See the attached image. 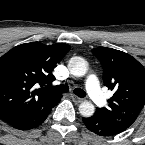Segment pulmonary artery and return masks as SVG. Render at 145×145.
Listing matches in <instances>:
<instances>
[{"mask_svg":"<svg viewBox=\"0 0 145 145\" xmlns=\"http://www.w3.org/2000/svg\"><path fill=\"white\" fill-rule=\"evenodd\" d=\"M86 89L90 98L99 106H104L107 102L106 95L101 91L98 79L95 75H90L86 80Z\"/></svg>","mask_w":145,"mask_h":145,"instance_id":"e3ab8cb5","label":"pulmonary artery"}]
</instances>
